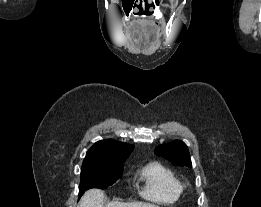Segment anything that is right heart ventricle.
Returning a JSON list of instances; mask_svg holds the SVG:
<instances>
[{"mask_svg":"<svg viewBox=\"0 0 261 207\" xmlns=\"http://www.w3.org/2000/svg\"><path fill=\"white\" fill-rule=\"evenodd\" d=\"M140 176L144 181L141 195L160 204L176 203L183 193V185L177 174L160 162H150L142 167Z\"/></svg>","mask_w":261,"mask_h":207,"instance_id":"obj_1","label":"right heart ventricle"}]
</instances>
